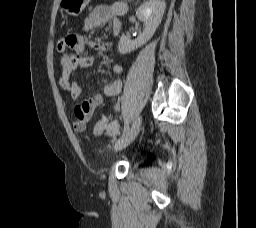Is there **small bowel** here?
<instances>
[{"instance_id":"c3829d8e","label":"small bowel","mask_w":256,"mask_h":228,"mask_svg":"<svg viewBox=\"0 0 256 228\" xmlns=\"http://www.w3.org/2000/svg\"><path fill=\"white\" fill-rule=\"evenodd\" d=\"M127 11L125 3L117 1L111 5L97 6L86 18L84 31H90L103 27L111 20L124 15ZM115 28L118 24L115 22ZM89 45L101 51H107L111 48V43L93 41L88 42L84 33L71 34L63 37V45L59 47L60 64L62 67V75L59 85L62 90L69 93L72 99H77L81 94V89L73 80L75 72L84 67L92 65V57L86 53V46ZM112 72L115 76L111 82H104L102 91L92 96L90 99L76 105L74 109L75 120L73 122L74 129L82 132L86 128L87 122L92 117L94 111L104 102L105 97H114L118 95L122 89V81L119 78L123 74V67L120 64L112 65ZM119 127L116 122H110L107 127V133L110 135L118 133Z\"/></svg>"}]
</instances>
